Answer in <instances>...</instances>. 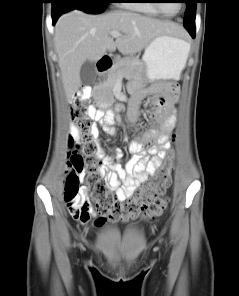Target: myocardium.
<instances>
[{
    "label": "myocardium",
    "instance_id": "f54148a6",
    "mask_svg": "<svg viewBox=\"0 0 239 296\" xmlns=\"http://www.w3.org/2000/svg\"><path fill=\"white\" fill-rule=\"evenodd\" d=\"M153 1V5L155 6V8L160 12V13H162L163 15H166V16H172V15H174V13L173 14H169V13H167L164 9H163V7L161 6V4L158 2V0H152ZM180 6H181V4L179 3V8L177 9V11L175 12V13H177L179 10H180Z\"/></svg>",
    "mask_w": 239,
    "mask_h": 296
}]
</instances>
